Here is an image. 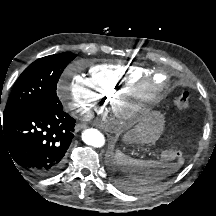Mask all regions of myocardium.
Listing matches in <instances>:
<instances>
[{"instance_id": "1", "label": "myocardium", "mask_w": 216, "mask_h": 216, "mask_svg": "<svg viewBox=\"0 0 216 216\" xmlns=\"http://www.w3.org/2000/svg\"><path fill=\"white\" fill-rule=\"evenodd\" d=\"M159 77H163L162 82H159ZM167 87L168 78L159 71H154L149 77L138 82L131 90V101L117 104L118 109L123 114L124 121L133 123L138 119L147 103L162 94Z\"/></svg>"}]
</instances>
